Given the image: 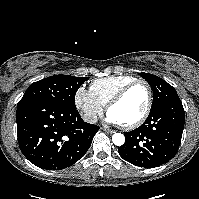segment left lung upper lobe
<instances>
[{"label": "left lung upper lobe", "mask_w": 199, "mask_h": 199, "mask_svg": "<svg viewBox=\"0 0 199 199\" xmlns=\"http://www.w3.org/2000/svg\"><path fill=\"white\" fill-rule=\"evenodd\" d=\"M141 76L153 90L154 96L151 109L157 108L168 101L180 99L174 87L160 77L149 73H141Z\"/></svg>", "instance_id": "1"}]
</instances>
